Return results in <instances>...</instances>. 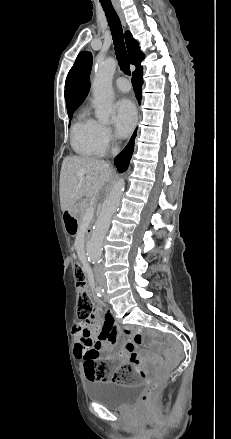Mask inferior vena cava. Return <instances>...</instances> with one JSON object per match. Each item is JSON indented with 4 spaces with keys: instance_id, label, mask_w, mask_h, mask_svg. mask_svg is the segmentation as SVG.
Wrapping results in <instances>:
<instances>
[{
    "instance_id": "obj_1",
    "label": "inferior vena cava",
    "mask_w": 231,
    "mask_h": 439,
    "mask_svg": "<svg viewBox=\"0 0 231 439\" xmlns=\"http://www.w3.org/2000/svg\"><path fill=\"white\" fill-rule=\"evenodd\" d=\"M119 153V148L118 147H113L112 149V154L115 156ZM95 273L101 275V266H96L95 267ZM102 276V275H101Z\"/></svg>"
}]
</instances>
